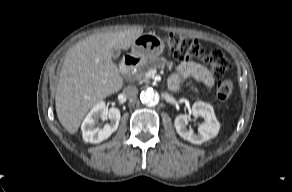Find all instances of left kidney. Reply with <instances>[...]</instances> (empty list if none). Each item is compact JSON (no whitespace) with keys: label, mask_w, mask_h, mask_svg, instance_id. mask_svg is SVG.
<instances>
[{"label":"left kidney","mask_w":292,"mask_h":192,"mask_svg":"<svg viewBox=\"0 0 292 192\" xmlns=\"http://www.w3.org/2000/svg\"><path fill=\"white\" fill-rule=\"evenodd\" d=\"M194 117L204 118V122L198 127V133L195 134L192 129H187L189 117L180 114L175 118L174 125L177 133L185 140L193 144H202L211 138H214L220 129V124L216 119L213 107L203 101L195 102L192 106Z\"/></svg>","instance_id":"1"}]
</instances>
